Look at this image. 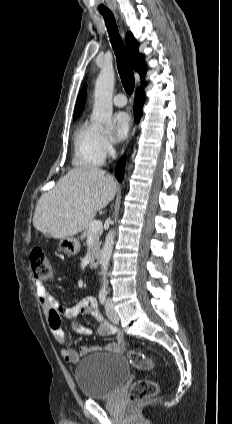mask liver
<instances>
[{
    "label": "liver",
    "instance_id": "liver-1",
    "mask_svg": "<svg viewBox=\"0 0 232 424\" xmlns=\"http://www.w3.org/2000/svg\"><path fill=\"white\" fill-rule=\"evenodd\" d=\"M114 177L97 167H77L60 178L37 202L34 227L43 234L63 239L78 234L97 211L115 197Z\"/></svg>",
    "mask_w": 232,
    "mask_h": 424
}]
</instances>
